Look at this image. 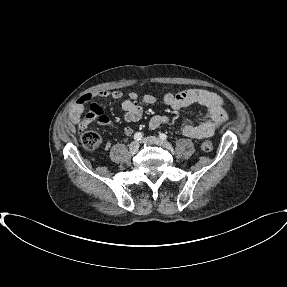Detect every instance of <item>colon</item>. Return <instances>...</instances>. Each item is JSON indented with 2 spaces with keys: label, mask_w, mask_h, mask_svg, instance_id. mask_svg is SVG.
<instances>
[{
  "label": "colon",
  "mask_w": 287,
  "mask_h": 287,
  "mask_svg": "<svg viewBox=\"0 0 287 287\" xmlns=\"http://www.w3.org/2000/svg\"><path fill=\"white\" fill-rule=\"evenodd\" d=\"M83 147L87 150H95L99 147L101 139L95 132H84L80 137ZM202 149L206 152H210L213 149V142L210 139L205 140L202 143Z\"/></svg>",
  "instance_id": "obj_1"
}]
</instances>
